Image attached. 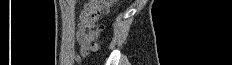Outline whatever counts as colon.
Segmentation results:
<instances>
[{
	"instance_id": "5ec220e1",
	"label": "colon",
	"mask_w": 232,
	"mask_h": 65,
	"mask_svg": "<svg viewBox=\"0 0 232 65\" xmlns=\"http://www.w3.org/2000/svg\"><path fill=\"white\" fill-rule=\"evenodd\" d=\"M115 0H90L81 15L82 24L88 35L89 51L98 49V36L101 28L97 22L109 12Z\"/></svg>"
}]
</instances>
